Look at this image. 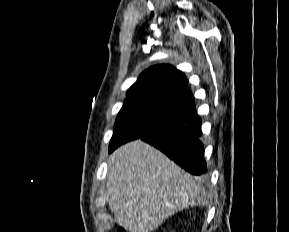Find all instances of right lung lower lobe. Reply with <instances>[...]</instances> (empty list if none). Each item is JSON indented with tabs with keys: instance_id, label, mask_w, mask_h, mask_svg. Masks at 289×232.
<instances>
[{
	"instance_id": "1",
	"label": "right lung lower lobe",
	"mask_w": 289,
	"mask_h": 232,
	"mask_svg": "<svg viewBox=\"0 0 289 232\" xmlns=\"http://www.w3.org/2000/svg\"><path fill=\"white\" fill-rule=\"evenodd\" d=\"M200 136L201 120L195 111H189L140 138L164 152L186 171L202 175L207 172V165Z\"/></svg>"
}]
</instances>
